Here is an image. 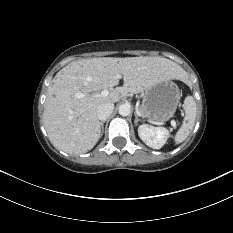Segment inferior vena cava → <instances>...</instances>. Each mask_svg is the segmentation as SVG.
<instances>
[{"instance_id": "602c4592", "label": "inferior vena cava", "mask_w": 233, "mask_h": 233, "mask_svg": "<svg viewBox=\"0 0 233 233\" xmlns=\"http://www.w3.org/2000/svg\"><path fill=\"white\" fill-rule=\"evenodd\" d=\"M114 104L113 103H104L101 104L97 109V117L99 120H106L113 112Z\"/></svg>"}]
</instances>
